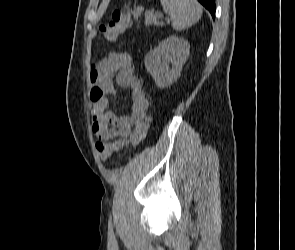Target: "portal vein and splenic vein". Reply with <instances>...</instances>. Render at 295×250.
I'll return each mask as SVG.
<instances>
[{"mask_svg":"<svg viewBox=\"0 0 295 250\" xmlns=\"http://www.w3.org/2000/svg\"><path fill=\"white\" fill-rule=\"evenodd\" d=\"M160 18H163V16L161 14L158 15Z\"/></svg>","mask_w":295,"mask_h":250,"instance_id":"obj_1","label":"portal vein and splenic vein"}]
</instances>
